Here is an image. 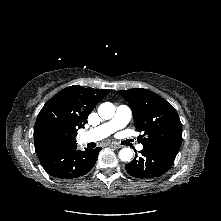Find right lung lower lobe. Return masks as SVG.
<instances>
[{
    "label": "right lung lower lobe",
    "mask_w": 221,
    "mask_h": 221,
    "mask_svg": "<svg viewBox=\"0 0 221 221\" xmlns=\"http://www.w3.org/2000/svg\"><path fill=\"white\" fill-rule=\"evenodd\" d=\"M100 147L96 149H77V143L57 147L43 146L36 149L40 163L51 176L73 180L87 174L95 165Z\"/></svg>",
    "instance_id": "98d812e1"
}]
</instances>
